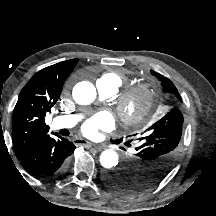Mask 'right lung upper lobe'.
Returning a JSON list of instances; mask_svg holds the SVG:
<instances>
[{
	"label": "right lung upper lobe",
	"instance_id": "right-lung-upper-lobe-1",
	"mask_svg": "<svg viewBox=\"0 0 216 216\" xmlns=\"http://www.w3.org/2000/svg\"><path fill=\"white\" fill-rule=\"evenodd\" d=\"M77 62L78 59H71L48 66L21 90L12 119L13 147L19 160L49 136L44 117L58 101L63 84Z\"/></svg>",
	"mask_w": 216,
	"mask_h": 216
}]
</instances>
